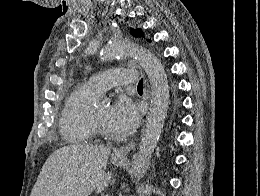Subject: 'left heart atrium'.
I'll return each instance as SVG.
<instances>
[{
    "mask_svg": "<svg viewBox=\"0 0 260 196\" xmlns=\"http://www.w3.org/2000/svg\"><path fill=\"white\" fill-rule=\"evenodd\" d=\"M139 120L137 105L125 96L120 97L109 110V126L118 134L127 135L138 125Z\"/></svg>",
    "mask_w": 260,
    "mask_h": 196,
    "instance_id": "left-heart-atrium-1",
    "label": "left heart atrium"
}]
</instances>
